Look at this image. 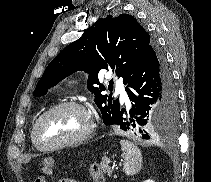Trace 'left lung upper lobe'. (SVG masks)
<instances>
[{"label":"left lung upper lobe","instance_id":"obj_1","mask_svg":"<svg viewBox=\"0 0 211 182\" xmlns=\"http://www.w3.org/2000/svg\"><path fill=\"white\" fill-rule=\"evenodd\" d=\"M153 42L131 15L101 18L50 62L33 95L46 94L50 87L78 70L88 72V89L95 94V103L102 113L104 124H117L120 104L118 99L112 101L111 96L101 95L105 87L98 81V72L112 69L124 84H128ZM92 84H98L100 88H94ZM111 86L112 82L108 89ZM175 129L159 127L153 130L155 133H173Z\"/></svg>","mask_w":211,"mask_h":182}]
</instances>
